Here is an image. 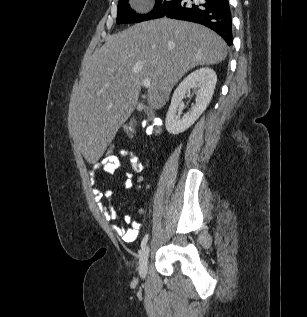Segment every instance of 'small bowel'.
Listing matches in <instances>:
<instances>
[{
	"label": "small bowel",
	"instance_id": "obj_1",
	"mask_svg": "<svg viewBox=\"0 0 307 317\" xmlns=\"http://www.w3.org/2000/svg\"><path fill=\"white\" fill-rule=\"evenodd\" d=\"M120 157L126 158L132 167L133 173H140L143 170V162L141 158L131 149H122L118 156L110 159H101L95 163L94 169L102 171L105 174H113L120 167ZM132 176L131 172L125 174V179L122 181L121 186L125 189H130L132 187ZM113 191L108 190L105 193L106 198H111L113 196ZM97 201L100 202L102 196L97 193ZM102 214L104 218L108 221L114 220L116 218V212L113 208L102 205ZM124 222L131 225L130 228L125 229L119 226H112L114 232L120 236V238L127 243L133 242L138 236L140 224L132 219L130 215L124 216Z\"/></svg>",
	"mask_w": 307,
	"mask_h": 317
}]
</instances>
